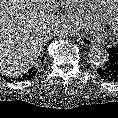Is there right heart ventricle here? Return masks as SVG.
Masks as SVG:
<instances>
[{"mask_svg":"<svg viewBox=\"0 0 118 118\" xmlns=\"http://www.w3.org/2000/svg\"><path fill=\"white\" fill-rule=\"evenodd\" d=\"M79 12L87 20L106 22L110 19L112 3L116 0H77ZM117 2V1H116Z\"/></svg>","mask_w":118,"mask_h":118,"instance_id":"1","label":"right heart ventricle"}]
</instances>
